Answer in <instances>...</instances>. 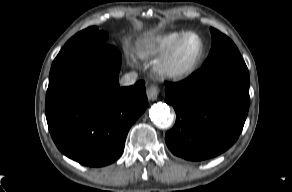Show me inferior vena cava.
Returning a JSON list of instances; mask_svg holds the SVG:
<instances>
[{
    "label": "inferior vena cava",
    "instance_id": "1",
    "mask_svg": "<svg viewBox=\"0 0 292 192\" xmlns=\"http://www.w3.org/2000/svg\"><path fill=\"white\" fill-rule=\"evenodd\" d=\"M137 77H138V74L135 71L127 73L121 78L120 84L122 86L133 85V84H135Z\"/></svg>",
    "mask_w": 292,
    "mask_h": 192
}]
</instances>
